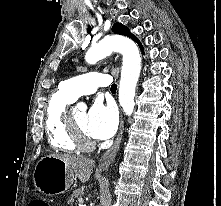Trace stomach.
Instances as JSON below:
<instances>
[{
	"mask_svg": "<svg viewBox=\"0 0 221 206\" xmlns=\"http://www.w3.org/2000/svg\"><path fill=\"white\" fill-rule=\"evenodd\" d=\"M75 180L66 163L56 157L41 158L33 174L34 187L43 194L54 195L66 192Z\"/></svg>",
	"mask_w": 221,
	"mask_h": 206,
	"instance_id": "0dacf381",
	"label": "stomach"
}]
</instances>
